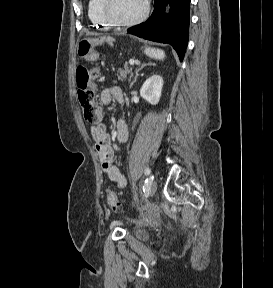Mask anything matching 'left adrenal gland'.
I'll list each match as a JSON object with an SVG mask.
<instances>
[{
	"instance_id": "left-adrenal-gland-1",
	"label": "left adrenal gland",
	"mask_w": 273,
	"mask_h": 288,
	"mask_svg": "<svg viewBox=\"0 0 273 288\" xmlns=\"http://www.w3.org/2000/svg\"><path fill=\"white\" fill-rule=\"evenodd\" d=\"M154 65H155L154 63H148V64H143V65H141V67L138 68V69L135 71V77H134L133 82H132L131 85H130V88H131L132 85L136 82L137 77L139 76V71H140V70H142V69H143L144 67H146V66H154Z\"/></svg>"
}]
</instances>
